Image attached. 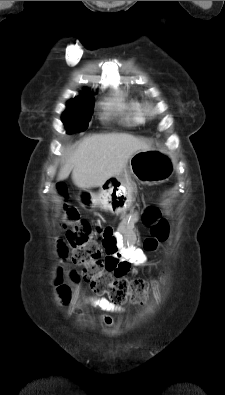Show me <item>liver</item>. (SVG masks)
Masks as SVG:
<instances>
[{"label":"liver","instance_id":"6515ba94","mask_svg":"<svg viewBox=\"0 0 225 395\" xmlns=\"http://www.w3.org/2000/svg\"><path fill=\"white\" fill-rule=\"evenodd\" d=\"M149 148L146 140L125 133L88 136L61 167L58 180L67 179L72 172L77 187H100L108 179L121 176L133 154Z\"/></svg>","mask_w":225,"mask_h":395}]
</instances>
